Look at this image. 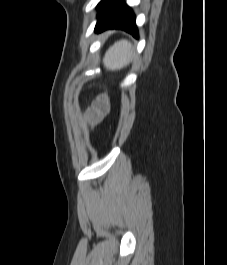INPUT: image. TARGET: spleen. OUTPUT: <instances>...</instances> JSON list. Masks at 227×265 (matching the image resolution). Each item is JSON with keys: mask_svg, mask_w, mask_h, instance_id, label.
<instances>
[{"mask_svg": "<svg viewBox=\"0 0 227 265\" xmlns=\"http://www.w3.org/2000/svg\"><path fill=\"white\" fill-rule=\"evenodd\" d=\"M133 57L134 49L131 43L122 39L107 50L103 63L107 70H120L126 67Z\"/></svg>", "mask_w": 227, "mask_h": 265, "instance_id": "obj_1", "label": "spleen"}]
</instances>
